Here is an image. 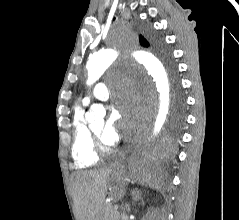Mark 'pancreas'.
Instances as JSON below:
<instances>
[{"mask_svg":"<svg viewBox=\"0 0 239 220\" xmlns=\"http://www.w3.org/2000/svg\"><path fill=\"white\" fill-rule=\"evenodd\" d=\"M120 215L117 210L114 209L112 204H107L103 211V220H119Z\"/></svg>","mask_w":239,"mask_h":220,"instance_id":"cf45deb5","label":"pancreas"}]
</instances>
